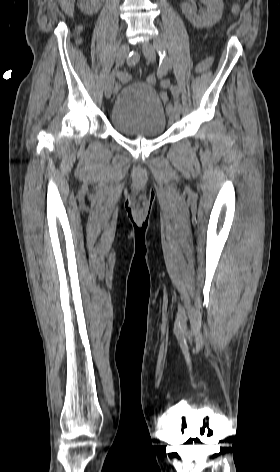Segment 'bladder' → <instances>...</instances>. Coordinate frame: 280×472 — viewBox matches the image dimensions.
Wrapping results in <instances>:
<instances>
[{"label": "bladder", "instance_id": "1", "mask_svg": "<svg viewBox=\"0 0 280 472\" xmlns=\"http://www.w3.org/2000/svg\"><path fill=\"white\" fill-rule=\"evenodd\" d=\"M109 121L119 133L157 137L166 131L167 113L152 86L132 82L117 93Z\"/></svg>", "mask_w": 280, "mask_h": 472}]
</instances>
